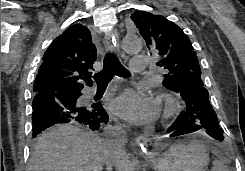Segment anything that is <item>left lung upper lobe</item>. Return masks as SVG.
Instances as JSON below:
<instances>
[{
	"mask_svg": "<svg viewBox=\"0 0 245 171\" xmlns=\"http://www.w3.org/2000/svg\"><path fill=\"white\" fill-rule=\"evenodd\" d=\"M131 19L148 49L160 56L156 65L165 71L163 86L178 92L187 85H204L194 48L179 26L145 11L134 12Z\"/></svg>",
	"mask_w": 245,
	"mask_h": 171,
	"instance_id": "obj_1",
	"label": "left lung upper lobe"
}]
</instances>
